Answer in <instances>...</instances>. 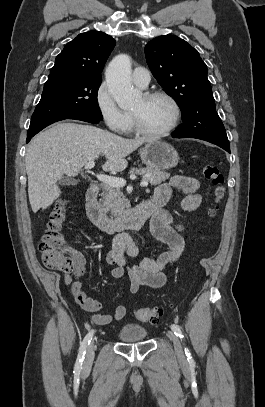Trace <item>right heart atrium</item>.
I'll list each match as a JSON object with an SVG mask.
<instances>
[{
	"instance_id": "obj_1",
	"label": "right heart atrium",
	"mask_w": 265,
	"mask_h": 407,
	"mask_svg": "<svg viewBox=\"0 0 265 407\" xmlns=\"http://www.w3.org/2000/svg\"><path fill=\"white\" fill-rule=\"evenodd\" d=\"M95 103L102 120L110 130L116 133L126 131L130 123V116L118 107L104 81L96 89Z\"/></svg>"
}]
</instances>
